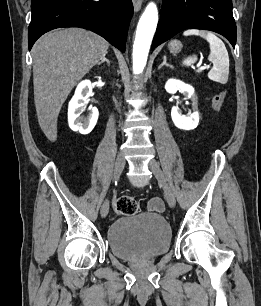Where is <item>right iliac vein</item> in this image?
Returning a JSON list of instances; mask_svg holds the SVG:
<instances>
[{"mask_svg": "<svg viewBox=\"0 0 261 306\" xmlns=\"http://www.w3.org/2000/svg\"><path fill=\"white\" fill-rule=\"evenodd\" d=\"M125 166V159L123 154L119 153L116 162H115V167H114V174H113V180L116 181L119 179L123 169ZM101 216L106 217L108 212H109V201L105 200L104 203L101 206Z\"/></svg>", "mask_w": 261, "mask_h": 306, "instance_id": "63e3f726", "label": "right iliac vein"}]
</instances>
